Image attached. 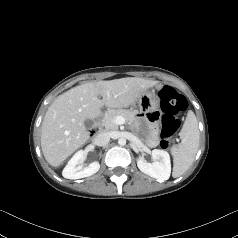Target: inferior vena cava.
I'll return each instance as SVG.
<instances>
[{
	"label": "inferior vena cava",
	"instance_id": "obj_1",
	"mask_svg": "<svg viewBox=\"0 0 238 238\" xmlns=\"http://www.w3.org/2000/svg\"><path fill=\"white\" fill-rule=\"evenodd\" d=\"M110 141V136L107 133H99L94 138V143L97 146H105Z\"/></svg>",
	"mask_w": 238,
	"mask_h": 238
}]
</instances>
